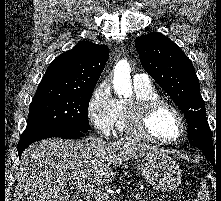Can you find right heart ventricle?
Listing matches in <instances>:
<instances>
[{
	"label": "right heart ventricle",
	"instance_id": "1",
	"mask_svg": "<svg viewBox=\"0 0 221 201\" xmlns=\"http://www.w3.org/2000/svg\"><path fill=\"white\" fill-rule=\"evenodd\" d=\"M134 90H135L134 100H148V99L160 98L158 92L151 84L134 85ZM128 104L129 103L123 101H118V117L116 125L118 130L123 133H129L125 124V112Z\"/></svg>",
	"mask_w": 221,
	"mask_h": 201
}]
</instances>
